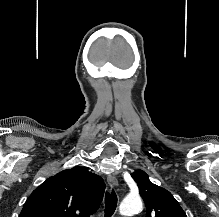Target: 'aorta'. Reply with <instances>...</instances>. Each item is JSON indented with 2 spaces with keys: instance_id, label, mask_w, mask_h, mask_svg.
I'll list each match as a JSON object with an SVG mask.
<instances>
[{
  "instance_id": "aorta-1",
  "label": "aorta",
  "mask_w": 219,
  "mask_h": 217,
  "mask_svg": "<svg viewBox=\"0 0 219 217\" xmlns=\"http://www.w3.org/2000/svg\"><path fill=\"white\" fill-rule=\"evenodd\" d=\"M142 209V200L139 196H128L120 205V213L123 216H133Z\"/></svg>"
}]
</instances>
